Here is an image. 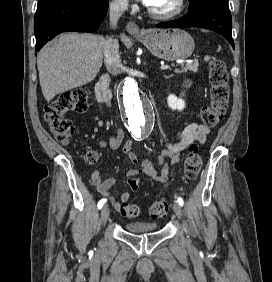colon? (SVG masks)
Listing matches in <instances>:
<instances>
[{
  "mask_svg": "<svg viewBox=\"0 0 272 282\" xmlns=\"http://www.w3.org/2000/svg\"><path fill=\"white\" fill-rule=\"evenodd\" d=\"M210 104L201 110V120L206 126H215L225 115L229 106L230 87L229 77L225 64L214 59L209 64ZM88 111L87 93L79 91L76 94L66 93L52 100L46 108L45 120L49 125L54 138L62 144L67 143L75 134L76 128L72 121L65 115L70 112L86 113ZM86 159L88 163L97 160V153L90 151ZM201 157L198 147L191 145L183 164V180L190 182L198 175L201 168ZM130 187L139 186L137 176L128 179ZM168 203L165 200H157L150 207V214L155 218H163L168 211ZM120 213L127 217H136L141 214V208L132 203H123Z\"/></svg>",
  "mask_w": 272,
  "mask_h": 282,
  "instance_id": "colon-1",
  "label": "colon"
}]
</instances>
